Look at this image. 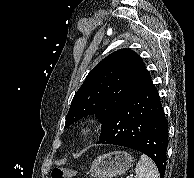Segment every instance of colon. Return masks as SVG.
I'll use <instances>...</instances> for the list:
<instances>
[{
    "mask_svg": "<svg viewBox=\"0 0 194 178\" xmlns=\"http://www.w3.org/2000/svg\"><path fill=\"white\" fill-rule=\"evenodd\" d=\"M74 175V170L64 167H55L51 172V178H72Z\"/></svg>",
    "mask_w": 194,
    "mask_h": 178,
    "instance_id": "colon-1",
    "label": "colon"
}]
</instances>
